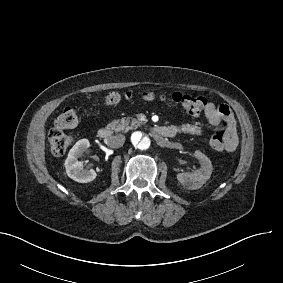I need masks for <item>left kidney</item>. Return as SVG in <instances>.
Masks as SVG:
<instances>
[{"instance_id": "1", "label": "left kidney", "mask_w": 283, "mask_h": 283, "mask_svg": "<svg viewBox=\"0 0 283 283\" xmlns=\"http://www.w3.org/2000/svg\"><path fill=\"white\" fill-rule=\"evenodd\" d=\"M194 154L200 161L201 168L194 171L193 173L179 172L176 174L177 180L184 187L189 189L200 188L207 180L211 178V174L213 172L212 163L204 153H202L200 150H195Z\"/></svg>"}]
</instances>
